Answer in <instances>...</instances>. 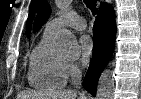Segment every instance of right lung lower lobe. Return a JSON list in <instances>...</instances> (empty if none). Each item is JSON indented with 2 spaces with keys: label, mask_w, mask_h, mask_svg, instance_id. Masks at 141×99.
Returning a JSON list of instances; mask_svg holds the SVG:
<instances>
[{
  "label": "right lung lower lobe",
  "mask_w": 141,
  "mask_h": 99,
  "mask_svg": "<svg viewBox=\"0 0 141 99\" xmlns=\"http://www.w3.org/2000/svg\"><path fill=\"white\" fill-rule=\"evenodd\" d=\"M93 34V57L88 72L85 76L83 86L85 89L91 90L92 95L95 96V86L98 78L104 67L109 62L115 44V15L110 5L106 3L101 5L93 27Z\"/></svg>",
  "instance_id": "obj_1"
}]
</instances>
